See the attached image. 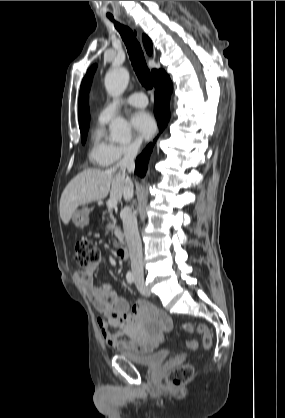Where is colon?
<instances>
[{
	"instance_id": "1",
	"label": "colon",
	"mask_w": 285,
	"mask_h": 418,
	"mask_svg": "<svg viewBox=\"0 0 285 418\" xmlns=\"http://www.w3.org/2000/svg\"><path fill=\"white\" fill-rule=\"evenodd\" d=\"M75 248L76 261L82 267L93 264L99 259L97 248L87 239H78ZM181 329L189 334L200 335L202 337L203 347L206 349L211 347L213 343V336L206 325H199L194 328L191 324L183 323L181 325ZM193 373V366L191 364H184L169 372L168 382L175 387L183 386L191 380Z\"/></svg>"
}]
</instances>
